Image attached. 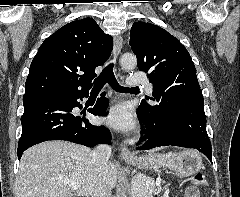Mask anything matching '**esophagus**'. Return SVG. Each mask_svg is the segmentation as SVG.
I'll return each mask as SVG.
<instances>
[{"mask_svg": "<svg viewBox=\"0 0 240 197\" xmlns=\"http://www.w3.org/2000/svg\"><path fill=\"white\" fill-rule=\"evenodd\" d=\"M122 45H123V39L121 35H117L114 39V47H113V59H117L121 49H122ZM121 157L126 160V161H130V160H135L137 159V156L133 153L130 152V150L125 147V146H121Z\"/></svg>", "mask_w": 240, "mask_h": 197, "instance_id": "esophagus-1", "label": "esophagus"}]
</instances>
